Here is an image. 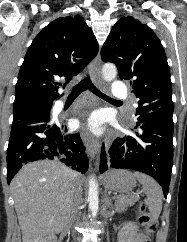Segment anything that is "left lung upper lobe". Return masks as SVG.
Here are the masks:
<instances>
[{
	"instance_id": "1",
	"label": "left lung upper lobe",
	"mask_w": 187,
	"mask_h": 242,
	"mask_svg": "<svg viewBox=\"0 0 187 242\" xmlns=\"http://www.w3.org/2000/svg\"><path fill=\"white\" fill-rule=\"evenodd\" d=\"M101 57L117 66L121 79L131 80L139 104L137 124L153 121L173 125L170 70L152 29L131 16L122 17L104 43Z\"/></svg>"
}]
</instances>
